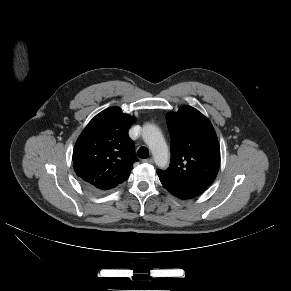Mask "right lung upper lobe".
Returning a JSON list of instances; mask_svg holds the SVG:
<instances>
[{
    "mask_svg": "<svg viewBox=\"0 0 291 291\" xmlns=\"http://www.w3.org/2000/svg\"><path fill=\"white\" fill-rule=\"evenodd\" d=\"M135 118L118 107L96 115L83 130L73 150V167L83 182L96 190H108L126 181L134 162L128 129Z\"/></svg>",
    "mask_w": 291,
    "mask_h": 291,
    "instance_id": "obj_1",
    "label": "right lung upper lobe"
}]
</instances>
